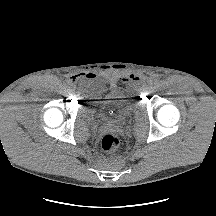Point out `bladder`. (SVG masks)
<instances>
[{
    "label": "bladder",
    "mask_w": 216,
    "mask_h": 216,
    "mask_svg": "<svg viewBox=\"0 0 216 216\" xmlns=\"http://www.w3.org/2000/svg\"><path fill=\"white\" fill-rule=\"evenodd\" d=\"M83 94L86 97L82 105L85 116L105 124L116 125L137 110L136 102L114 87L85 88Z\"/></svg>",
    "instance_id": "bladder-1"
}]
</instances>
